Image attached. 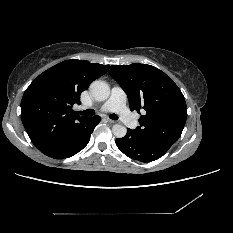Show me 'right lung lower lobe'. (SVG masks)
Segmentation results:
<instances>
[{"label": "right lung lower lobe", "mask_w": 233, "mask_h": 233, "mask_svg": "<svg viewBox=\"0 0 233 233\" xmlns=\"http://www.w3.org/2000/svg\"><path fill=\"white\" fill-rule=\"evenodd\" d=\"M99 122V116L85 119L61 143L42 153L54 159H64L75 155L88 144L90 135Z\"/></svg>", "instance_id": "1"}]
</instances>
